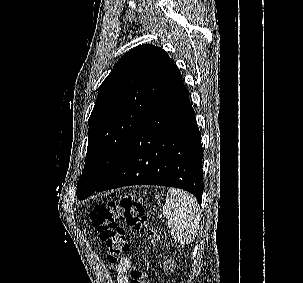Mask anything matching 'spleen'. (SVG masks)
I'll use <instances>...</instances> for the list:
<instances>
[{
  "label": "spleen",
  "mask_w": 303,
  "mask_h": 283,
  "mask_svg": "<svg viewBox=\"0 0 303 283\" xmlns=\"http://www.w3.org/2000/svg\"><path fill=\"white\" fill-rule=\"evenodd\" d=\"M162 210L169 221L174 240L180 244L191 243L196 237L200 222L195 199L185 191L170 188Z\"/></svg>",
  "instance_id": "1"
}]
</instances>
